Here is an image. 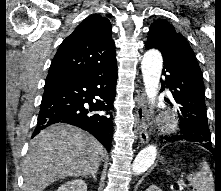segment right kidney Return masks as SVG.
<instances>
[{"mask_svg":"<svg viewBox=\"0 0 221 191\" xmlns=\"http://www.w3.org/2000/svg\"><path fill=\"white\" fill-rule=\"evenodd\" d=\"M57 191H87V185L82 179H75L62 184Z\"/></svg>","mask_w":221,"mask_h":191,"instance_id":"right-kidney-1","label":"right kidney"}]
</instances>
